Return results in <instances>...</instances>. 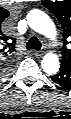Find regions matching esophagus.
Masks as SVG:
<instances>
[{"label":"esophagus","instance_id":"1","mask_svg":"<svg viewBox=\"0 0 71 119\" xmlns=\"http://www.w3.org/2000/svg\"><path fill=\"white\" fill-rule=\"evenodd\" d=\"M33 55H35L36 57H42L43 52L42 51H33Z\"/></svg>","mask_w":71,"mask_h":119}]
</instances>
